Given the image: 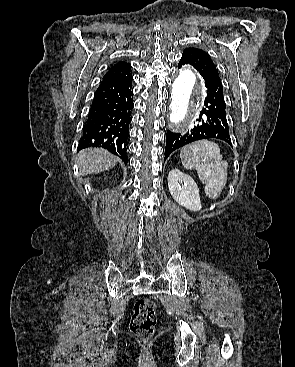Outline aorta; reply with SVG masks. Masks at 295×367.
I'll list each match as a JSON object with an SVG mask.
<instances>
[{
    "label": "aorta",
    "instance_id": "aorta-1",
    "mask_svg": "<svg viewBox=\"0 0 295 367\" xmlns=\"http://www.w3.org/2000/svg\"><path fill=\"white\" fill-rule=\"evenodd\" d=\"M199 86L198 77L191 68L185 67L179 71L172 85L169 117L172 124L182 126L188 122L200 103L201 97L196 98Z\"/></svg>",
    "mask_w": 295,
    "mask_h": 367
}]
</instances>
